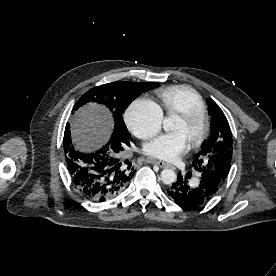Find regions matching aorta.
I'll use <instances>...</instances> for the list:
<instances>
[{"instance_id":"762f6f07","label":"aorta","mask_w":276,"mask_h":276,"mask_svg":"<svg viewBox=\"0 0 276 276\" xmlns=\"http://www.w3.org/2000/svg\"><path fill=\"white\" fill-rule=\"evenodd\" d=\"M178 121V117L171 115L168 117H165L163 120V129L165 131H171L176 128V123ZM160 178L163 183L165 184H172L176 181V173L172 169H164L161 171Z\"/></svg>"}]
</instances>
